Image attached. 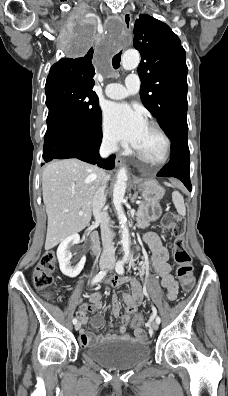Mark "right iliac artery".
I'll return each mask as SVG.
<instances>
[{"label":"right iliac artery","mask_w":228,"mask_h":396,"mask_svg":"<svg viewBox=\"0 0 228 396\" xmlns=\"http://www.w3.org/2000/svg\"><path fill=\"white\" fill-rule=\"evenodd\" d=\"M107 271H100L93 279H92V284H95L103 279V277L106 275ZM73 324L77 323V319L73 318L72 320Z\"/></svg>","instance_id":"right-iliac-artery-1"}]
</instances>
